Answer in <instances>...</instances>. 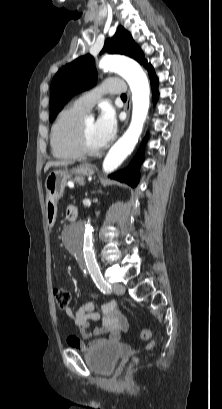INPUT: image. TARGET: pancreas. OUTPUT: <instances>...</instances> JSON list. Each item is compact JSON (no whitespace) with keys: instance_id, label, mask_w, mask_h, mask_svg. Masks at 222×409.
I'll list each match as a JSON object with an SVG mask.
<instances>
[{"instance_id":"1","label":"pancreas","mask_w":222,"mask_h":409,"mask_svg":"<svg viewBox=\"0 0 222 409\" xmlns=\"http://www.w3.org/2000/svg\"><path fill=\"white\" fill-rule=\"evenodd\" d=\"M73 182L83 184L84 183V178L83 177H76V178L73 179Z\"/></svg>"}]
</instances>
